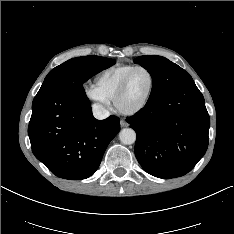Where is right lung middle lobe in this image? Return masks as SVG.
<instances>
[{
    "label": "right lung middle lobe",
    "mask_w": 234,
    "mask_h": 234,
    "mask_svg": "<svg viewBox=\"0 0 234 234\" xmlns=\"http://www.w3.org/2000/svg\"><path fill=\"white\" fill-rule=\"evenodd\" d=\"M115 60L99 56H83L72 58L52 69L45 81L58 76L70 74L75 82L83 84L93 74L115 64Z\"/></svg>",
    "instance_id": "dd1d6c3e"
}]
</instances>
